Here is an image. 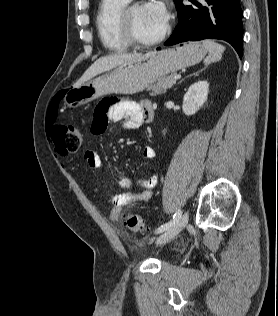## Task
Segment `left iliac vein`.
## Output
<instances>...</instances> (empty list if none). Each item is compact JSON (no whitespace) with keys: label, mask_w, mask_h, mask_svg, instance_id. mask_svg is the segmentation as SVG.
Segmentation results:
<instances>
[{"label":"left iliac vein","mask_w":278,"mask_h":316,"mask_svg":"<svg viewBox=\"0 0 278 316\" xmlns=\"http://www.w3.org/2000/svg\"><path fill=\"white\" fill-rule=\"evenodd\" d=\"M188 219H189L188 213L185 212L172 227H170L168 230H166L163 234H161L157 238L156 244L160 245V244L166 243L172 238H174L176 235H178L187 225Z\"/></svg>","instance_id":"left-iliac-vein-1"}]
</instances>
